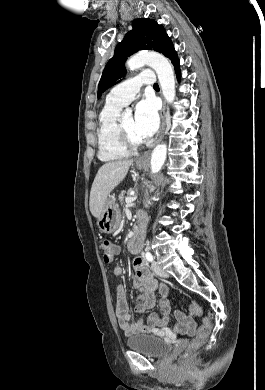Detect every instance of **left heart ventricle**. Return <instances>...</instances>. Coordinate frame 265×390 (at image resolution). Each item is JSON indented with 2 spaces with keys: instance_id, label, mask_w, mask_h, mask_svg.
I'll list each match as a JSON object with an SVG mask.
<instances>
[{
  "instance_id": "left-heart-ventricle-1",
  "label": "left heart ventricle",
  "mask_w": 265,
  "mask_h": 390,
  "mask_svg": "<svg viewBox=\"0 0 265 390\" xmlns=\"http://www.w3.org/2000/svg\"><path fill=\"white\" fill-rule=\"evenodd\" d=\"M123 126L127 133L136 141L142 140L135 132L134 128V118L133 116L129 115L122 119Z\"/></svg>"
}]
</instances>
